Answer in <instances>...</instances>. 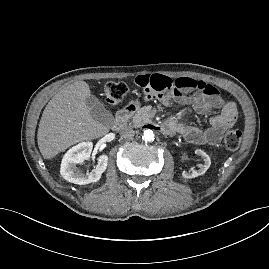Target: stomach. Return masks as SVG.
Segmentation results:
<instances>
[{
  "label": "stomach",
  "instance_id": "obj_1",
  "mask_svg": "<svg viewBox=\"0 0 269 269\" xmlns=\"http://www.w3.org/2000/svg\"><path fill=\"white\" fill-rule=\"evenodd\" d=\"M132 104H133L135 107H138V106H139V103H138L137 101L132 102Z\"/></svg>",
  "mask_w": 269,
  "mask_h": 269
}]
</instances>
